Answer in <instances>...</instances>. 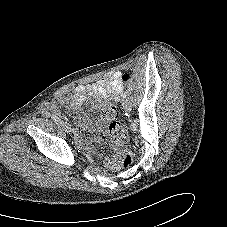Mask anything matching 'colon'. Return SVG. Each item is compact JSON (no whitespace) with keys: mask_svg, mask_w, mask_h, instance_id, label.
<instances>
[{"mask_svg":"<svg viewBox=\"0 0 227 227\" xmlns=\"http://www.w3.org/2000/svg\"><path fill=\"white\" fill-rule=\"evenodd\" d=\"M122 82L128 80L127 75H122ZM101 108L105 110V114L109 119V134L114 149L118 152L120 165L124 168L130 167L134 162V156L131 151L122 149L128 141V133L126 127L118 121V109L109 99H104Z\"/></svg>","mask_w":227,"mask_h":227,"instance_id":"1","label":"colon"}]
</instances>
